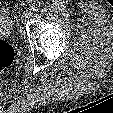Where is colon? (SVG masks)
Masks as SVG:
<instances>
[{"instance_id": "colon-1", "label": "colon", "mask_w": 113, "mask_h": 113, "mask_svg": "<svg viewBox=\"0 0 113 113\" xmlns=\"http://www.w3.org/2000/svg\"><path fill=\"white\" fill-rule=\"evenodd\" d=\"M15 58V51L13 47L0 40V72L10 67Z\"/></svg>"}]
</instances>
